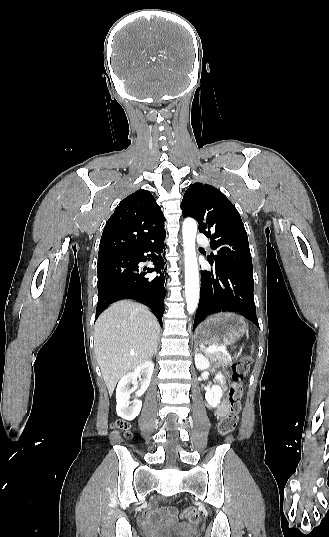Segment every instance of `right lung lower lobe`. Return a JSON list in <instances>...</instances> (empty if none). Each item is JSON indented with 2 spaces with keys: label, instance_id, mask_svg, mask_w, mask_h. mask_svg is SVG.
<instances>
[{
  "label": "right lung lower lobe",
  "instance_id": "right-lung-lower-lobe-1",
  "mask_svg": "<svg viewBox=\"0 0 329 537\" xmlns=\"http://www.w3.org/2000/svg\"><path fill=\"white\" fill-rule=\"evenodd\" d=\"M165 235L140 249L124 255L99 258L98 273V302L96 318L111 303L121 299H136L149 305L162 324L164 313V283L166 275L162 272L166 261L164 259ZM151 254L145 255V253ZM164 252V253H163ZM156 253V254H155ZM151 260L154 268H139L140 262ZM147 271V272H146ZM156 271L155 277L146 276Z\"/></svg>",
  "mask_w": 329,
  "mask_h": 537
}]
</instances>
